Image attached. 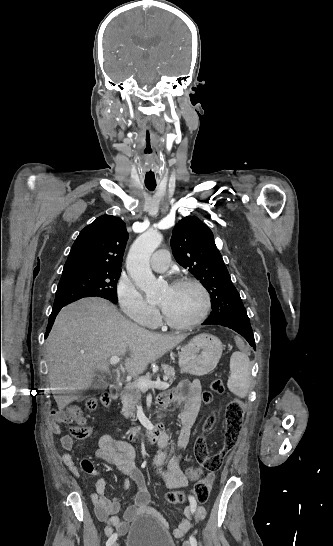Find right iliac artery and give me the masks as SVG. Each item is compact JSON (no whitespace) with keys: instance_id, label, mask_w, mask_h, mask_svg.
Instances as JSON below:
<instances>
[{"instance_id":"obj_1","label":"right iliac artery","mask_w":333,"mask_h":546,"mask_svg":"<svg viewBox=\"0 0 333 546\" xmlns=\"http://www.w3.org/2000/svg\"><path fill=\"white\" fill-rule=\"evenodd\" d=\"M116 539H117V534L116 533L112 534L107 540L106 546H112V544L116 541Z\"/></svg>"}]
</instances>
